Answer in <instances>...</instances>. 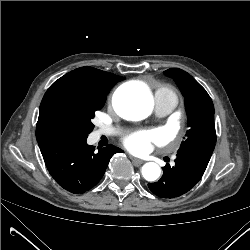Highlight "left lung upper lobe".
Here are the masks:
<instances>
[{
	"mask_svg": "<svg viewBox=\"0 0 250 250\" xmlns=\"http://www.w3.org/2000/svg\"><path fill=\"white\" fill-rule=\"evenodd\" d=\"M165 74L175 80L185 97L189 130L178 151L193 145L215 143L214 106L206 90L181 69L170 68Z\"/></svg>",
	"mask_w": 250,
	"mask_h": 250,
	"instance_id": "left-lung-upper-lobe-1",
	"label": "left lung upper lobe"
}]
</instances>
